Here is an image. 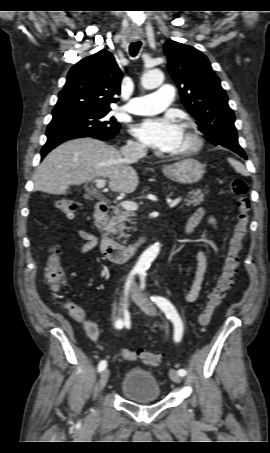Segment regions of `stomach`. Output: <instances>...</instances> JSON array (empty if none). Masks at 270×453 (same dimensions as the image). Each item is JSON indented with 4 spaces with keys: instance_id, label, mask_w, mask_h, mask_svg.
Here are the masks:
<instances>
[{
    "instance_id": "1",
    "label": "stomach",
    "mask_w": 270,
    "mask_h": 453,
    "mask_svg": "<svg viewBox=\"0 0 270 453\" xmlns=\"http://www.w3.org/2000/svg\"><path fill=\"white\" fill-rule=\"evenodd\" d=\"M162 171L167 178L180 184L188 185L200 181L205 172L203 164L192 158L164 166Z\"/></svg>"
}]
</instances>
